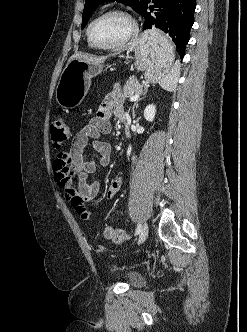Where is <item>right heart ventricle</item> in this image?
I'll return each instance as SVG.
<instances>
[{
    "label": "right heart ventricle",
    "instance_id": "right-heart-ventricle-1",
    "mask_svg": "<svg viewBox=\"0 0 247 332\" xmlns=\"http://www.w3.org/2000/svg\"><path fill=\"white\" fill-rule=\"evenodd\" d=\"M88 44H89V46L93 47L92 44L89 42V40H88Z\"/></svg>",
    "mask_w": 247,
    "mask_h": 332
}]
</instances>
